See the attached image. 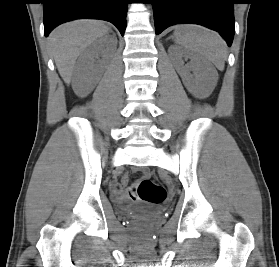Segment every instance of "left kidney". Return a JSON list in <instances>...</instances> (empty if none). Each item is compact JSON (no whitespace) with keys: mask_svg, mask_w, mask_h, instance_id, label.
<instances>
[{"mask_svg":"<svg viewBox=\"0 0 279 267\" xmlns=\"http://www.w3.org/2000/svg\"><path fill=\"white\" fill-rule=\"evenodd\" d=\"M183 58L190 59L188 66L184 65ZM173 63L184 86L193 96L204 98L210 95L217 79V73L210 64L203 61L198 55L184 50H179ZM190 71L193 72V75L190 74Z\"/></svg>","mask_w":279,"mask_h":267,"instance_id":"left-kidney-1","label":"left kidney"}]
</instances>
